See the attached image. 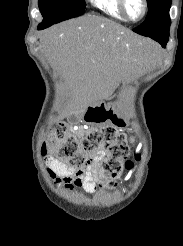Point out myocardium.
Here are the masks:
<instances>
[{"label":"myocardium","instance_id":"f54148a6","mask_svg":"<svg viewBox=\"0 0 183 246\" xmlns=\"http://www.w3.org/2000/svg\"><path fill=\"white\" fill-rule=\"evenodd\" d=\"M140 2L142 4V13H141V15H140L139 18L132 19L128 15V11H127V3H128V0H119L120 10H121L123 16L126 18L127 21L136 23V22L141 21L146 16V14L148 12V2H147V0H140Z\"/></svg>","mask_w":183,"mask_h":246}]
</instances>
